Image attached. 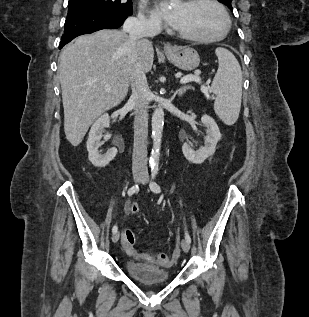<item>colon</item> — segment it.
Segmentation results:
<instances>
[{"label":"colon","instance_id":"obj_1","mask_svg":"<svg viewBox=\"0 0 309 317\" xmlns=\"http://www.w3.org/2000/svg\"><path fill=\"white\" fill-rule=\"evenodd\" d=\"M139 208L137 205L131 206V213L136 214L138 212ZM122 243L125 247H133L135 244V236L131 230H125L122 235ZM159 262L163 266L170 265L168 262V256L166 254H161L159 256Z\"/></svg>","mask_w":309,"mask_h":317}]
</instances>
